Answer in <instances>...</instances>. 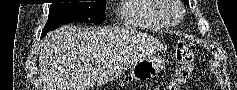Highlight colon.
Returning <instances> with one entry per match:
<instances>
[{
	"mask_svg": "<svg viewBox=\"0 0 237 90\" xmlns=\"http://www.w3.org/2000/svg\"><path fill=\"white\" fill-rule=\"evenodd\" d=\"M195 46L182 41L175 49L176 66L172 76L170 90H180L189 82L194 70Z\"/></svg>",
	"mask_w": 237,
	"mask_h": 90,
	"instance_id": "1",
	"label": "colon"
}]
</instances>
